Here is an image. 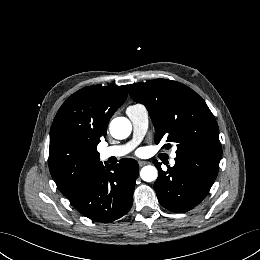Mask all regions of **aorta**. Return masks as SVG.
I'll list each match as a JSON object with an SVG mask.
<instances>
[{
	"label": "aorta",
	"instance_id": "aorta-1",
	"mask_svg": "<svg viewBox=\"0 0 260 260\" xmlns=\"http://www.w3.org/2000/svg\"><path fill=\"white\" fill-rule=\"evenodd\" d=\"M109 130L115 139H125L130 135L132 125L127 118L117 117L110 122ZM140 176L143 181L152 182L157 179L158 171L156 167L147 165L141 169Z\"/></svg>",
	"mask_w": 260,
	"mask_h": 260
}]
</instances>
